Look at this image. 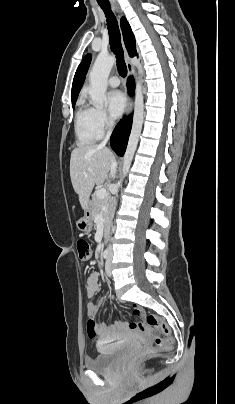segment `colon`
<instances>
[{
  "label": "colon",
  "instance_id": "5ec220e1",
  "mask_svg": "<svg viewBox=\"0 0 235 404\" xmlns=\"http://www.w3.org/2000/svg\"><path fill=\"white\" fill-rule=\"evenodd\" d=\"M77 251L82 262L89 260L92 254L90 244L86 240H79L77 242ZM133 312L139 317V320L131 322L130 327L151 333L161 331L165 336H156L154 348L159 351L169 350L173 341L167 323L156 314H144L140 308H134ZM88 333L91 337L95 336L93 332L88 331Z\"/></svg>",
  "mask_w": 235,
  "mask_h": 404
}]
</instances>
